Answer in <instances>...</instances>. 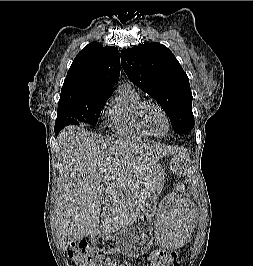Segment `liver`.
Wrapping results in <instances>:
<instances>
[{"label": "liver", "instance_id": "1", "mask_svg": "<svg viewBox=\"0 0 253 266\" xmlns=\"http://www.w3.org/2000/svg\"><path fill=\"white\" fill-rule=\"evenodd\" d=\"M64 180L57 204L62 241L111 235L132 224L153 190L161 144L96 139L69 127L58 136Z\"/></svg>", "mask_w": 253, "mask_h": 266}]
</instances>
